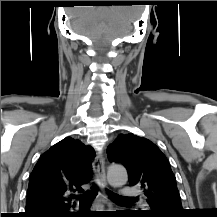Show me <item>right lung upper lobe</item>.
Returning <instances> with one entry per match:
<instances>
[{
	"label": "right lung upper lobe",
	"instance_id": "obj_1",
	"mask_svg": "<svg viewBox=\"0 0 217 217\" xmlns=\"http://www.w3.org/2000/svg\"><path fill=\"white\" fill-rule=\"evenodd\" d=\"M94 150L80 140L66 137L35 165L30 178L24 217H61L69 212L70 192H81L91 179Z\"/></svg>",
	"mask_w": 217,
	"mask_h": 217
}]
</instances>
